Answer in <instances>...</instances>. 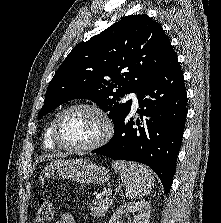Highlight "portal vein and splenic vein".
Segmentation results:
<instances>
[{
    "instance_id": "1",
    "label": "portal vein and splenic vein",
    "mask_w": 221,
    "mask_h": 223,
    "mask_svg": "<svg viewBox=\"0 0 221 223\" xmlns=\"http://www.w3.org/2000/svg\"><path fill=\"white\" fill-rule=\"evenodd\" d=\"M117 190V189H116ZM113 191H112V189H107V190H104V194H106V193H112Z\"/></svg>"
}]
</instances>
